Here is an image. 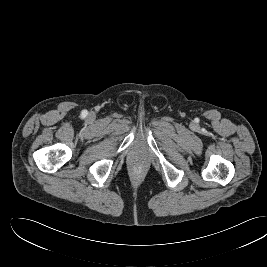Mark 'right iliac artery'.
<instances>
[{
    "instance_id": "right-iliac-artery-1",
    "label": "right iliac artery",
    "mask_w": 267,
    "mask_h": 267,
    "mask_svg": "<svg viewBox=\"0 0 267 267\" xmlns=\"http://www.w3.org/2000/svg\"><path fill=\"white\" fill-rule=\"evenodd\" d=\"M82 115H83V116L87 115V110H83V111H82Z\"/></svg>"
}]
</instances>
